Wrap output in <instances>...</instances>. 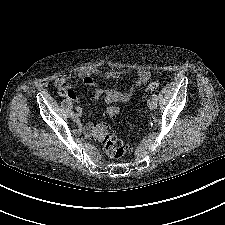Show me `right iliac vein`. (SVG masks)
Instances as JSON below:
<instances>
[{
  "instance_id": "obj_1",
  "label": "right iliac vein",
  "mask_w": 225,
  "mask_h": 225,
  "mask_svg": "<svg viewBox=\"0 0 225 225\" xmlns=\"http://www.w3.org/2000/svg\"><path fill=\"white\" fill-rule=\"evenodd\" d=\"M72 118L75 122H79V120H80L79 114H74Z\"/></svg>"
}]
</instances>
